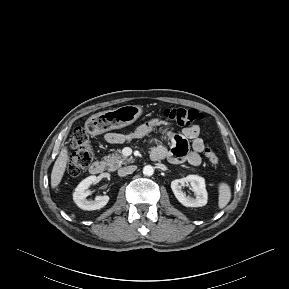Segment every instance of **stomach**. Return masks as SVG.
Masks as SVG:
<instances>
[{
  "instance_id": "obj_1",
  "label": "stomach",
  "mask_w": 289,
  "mask_h": 289,
  "mask_svg": "<svg viewBox=\"0 0 289 289\" xmlns=\"http://www.w3.org/2000/svg\"><path fill=\"white\" fill-rule=\"evenodd\" d=\"M142 112L143 108L139 105L121 106L91 116L85 123V129L93 136L113 129H120L134 123Z\"/></svg>"
}]
</instances>
